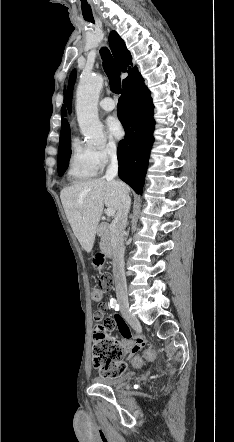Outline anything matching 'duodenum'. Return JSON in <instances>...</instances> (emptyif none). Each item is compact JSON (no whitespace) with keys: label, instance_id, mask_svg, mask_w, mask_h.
Returning <instances> with one entry per match:
<instances>
[{"label":"duodenum","instance_id":"1","mask_svg":"<svg viewBox=\"0 0 234 442\" xmlns=\"http://www.w3.org/2000/svg\"><path fill=\"white\" fill-rule=\"evenodd\" d=\"M98 233L104 239V242H103L104 253L108 256H111L113 253V247H112L111 238H110L109 225L106 223L100 224Z\"/></svg>","mask_w":234,"mask_h":442}]
</instances>
